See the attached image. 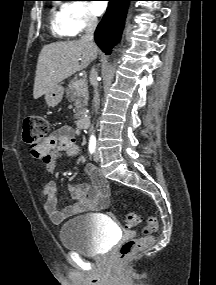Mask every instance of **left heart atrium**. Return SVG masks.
Segmentation results:
<instances>
[{
  "label": "left heart atrium",
  "instance_id": "left-heart-atrium-1",
  "mask_svg": "<svg viewBox=\"0 0 216 285\" xmlns=\"http://www.w3.org/2000/svg\"><path fill=\"white\" fill-rule=\"evenodd\" d=\"M107 5L106 1H95L93 3V10L97 15H100L106 10Z\"/></svg>",
  "mask_w": 216,
  "mask_h": 285
}]
</instances>
